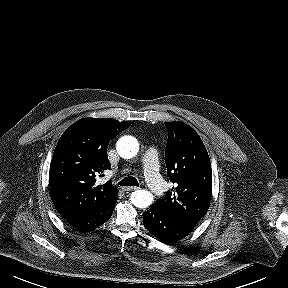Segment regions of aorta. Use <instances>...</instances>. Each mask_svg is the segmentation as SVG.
I'll use <instances>...</instances> for the list:
<instances>
[{"instance_id":"1","label":"aorta","mask_w":288,"mask_h":288,"mask_svg":"<svg viewBox=\"0 0 288 288\" xmlns=\"http://www.w3.org/2000/svg\"><path fill=\"white\" fill-rule=\"evenodd\" d=\"M117 152L124 159L133 158L139 150V143L135 137L123 136L117 142ZM153 194L147 190L140 189L132 192L131 203L138 208H147L153 203Z\"/></svg>"}]
</instances>
